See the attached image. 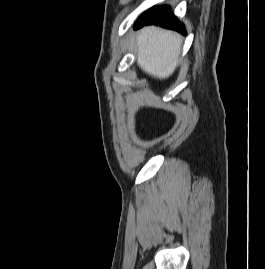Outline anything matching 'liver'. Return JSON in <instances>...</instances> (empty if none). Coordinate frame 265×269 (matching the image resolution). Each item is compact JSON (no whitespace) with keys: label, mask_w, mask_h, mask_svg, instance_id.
Listing matches in <instances>:
<instances>
[{"label":"liver","mask_w":265,"mask_h":269,"mask_svg":"<svg viewBox=\"0 0 265 269\" xmlns=\"http://www.w3.org/2000/svg\"><path fill=\"white\" fill-rule=\"evenodd\" d=\"M181 36L155 26L144 27L136 40L137 63L150 76L168 78L180 61Z\"/></svg>","instance_id":"6515ba94"}]
</instances>
